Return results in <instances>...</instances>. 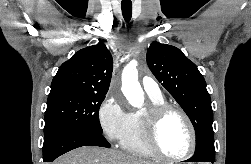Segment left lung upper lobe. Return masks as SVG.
Segmentation results:
<instances>
[{
	"label": "left lung upper lobe",
	"instance_id": "5c2ea615",
	"mask_svg": "<svg viewBox=\"0 0 251 164\" xmlns=\"http://www.w3.org/2000/svg\"><path fill=\"white\" fill-rule=\"evenodd\" d=\"M147 63L189 116L196 132L195 153L204 151L215 156L211 99L197 66L178 48L158 42L148 48Z\"/></svg>",
	"mask_w": 251,
	"mask_h": 164
}]
</instances>
